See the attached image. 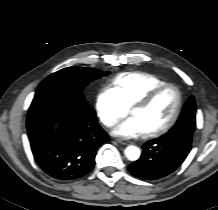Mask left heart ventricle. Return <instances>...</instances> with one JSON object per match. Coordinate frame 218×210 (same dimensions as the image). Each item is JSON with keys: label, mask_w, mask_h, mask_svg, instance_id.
Here are the masks:
<instances>
[{"label": "left heart ventricle", "mask_w": 218, "mask_h": 210, "mask_svg": "<svg viewBox=\"0 0 218 210\" xmlns=\"http://www.w3.org/2000/svg\"><path fill=\"white\" fill-rule=\"evenodd\" d=\"M176 103L175 90L168 88L161 92L149 106L133 109L132 115L140 119L147 133L164 126L169 121Z\"/></svg>", "instance_id": "obj_1"}]
</instances>
